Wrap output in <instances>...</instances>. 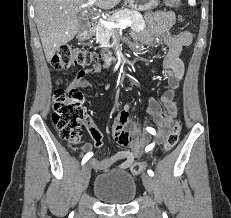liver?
<instances>
[{"mask_svg":"<svg viewBox=\"0 0 231 218\" xmlns=\"http://www.w3.org/2000/svg\"><path fill=\"white\" fill-rule=\"evenodd\" d=\"M89 0H34L35 21L47 61L80 30L79 6ZM121 0H96L95 5L109 10Z\"/></svg>","mask_w":231,"mask_h":218,"instance_id":"1","label":"liver"}]
</instances>
